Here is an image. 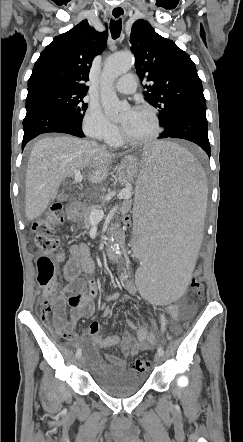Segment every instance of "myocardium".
Returning a JSON list of instances; mask_svg holds the SVG:
<instances>
[{
    "label": "myocardium",
    "mask_w": 243,
    "mask_h": 442,
    "mask_svg": "<svg viewBox=\"0 0 243 442\" xmlns=\"http://www.w3.org/2000/svg\"><path fill=\"white\" fill-rule=\"evenodd\" d=\"M133 110H143V111H148L151 113L154 122H155V130L152 133V135H150L149 137L140 139V140H133L128 138L125 133L123 132L122 128L120 127V140L122 143L130 145V146H143L146 145L148 143L153 142L154 140H156L161 131H162V126H161V120L158 114V111L151 105L148 104H141L136 106Z\"/></svg>",
    "instance_id": "myocardium-1"
}]
</instances>
